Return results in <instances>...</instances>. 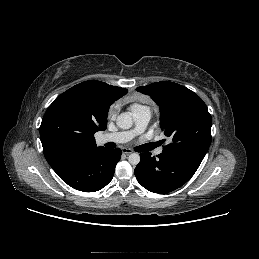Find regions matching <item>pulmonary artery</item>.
Wrapping results in <instances>:
<instances>
[{"label":"pulmonary artery","instance_id":"obj_1","mask_svg":"<svg viewBox=\"0 0 259 259\" xmlns=\"http://www.w3.org/2000/svg\"><path fill=\"white\" fill-rule=\"evenodd\" d=\"M132 115L135 121V127L129 131L107 133L100 136L99 140L101 143H126L130 141L134 136L141 133L147 126L151 112L148 107H140L132 110ZM162 148H158L155 153L157 155L162 153Z\"/></svg>","mask_w":259,"mask_h":259}]
</instances>
